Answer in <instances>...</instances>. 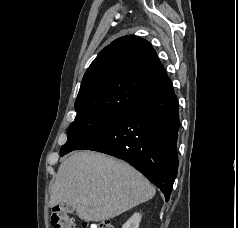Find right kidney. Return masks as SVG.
Instances as JSON below:
<instances>
[{
  "mask_svg": "<svg viewBox=\"0 0 238 228\" xmlns=\"http://www.w3.org/2000/svg\"><path fill=\"white\" fill-rule=\"evenodd\" d=\"M142 215L134 213L133 216L122 226V228H139Z\"/></svg>",
  "mask_w": 238,
  "mask_h": 228,
  "instance_id": "ca27d5eb",
  "label": "right kidney"
}]
</instances>
